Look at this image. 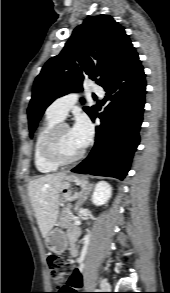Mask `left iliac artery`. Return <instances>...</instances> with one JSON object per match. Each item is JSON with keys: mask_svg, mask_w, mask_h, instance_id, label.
Here are the masks:
<instances>
[{"mask_svg": "<svg viewBox=\"0 0 170 293\" xmlns=\"http://www.w3.org/2000/svg\"><path fill=\"white\" fill-rule=\"evenodd\" d=\"M101 289H102V290H109V289H107V288H105V287H101Z\"/></svg>", "mask_w": 170, "mask_h": 293, "instance_id": "left-iliac-artery-1", "label": "left iliac artery"}]
</instances>
